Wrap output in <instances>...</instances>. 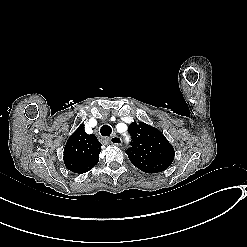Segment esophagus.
<instances>
[{
    "mask_svg": "<svg viewBox=\"0 0 247 247\" xmlns=\"http://www.w3.org/2000/svg\"><path fill=\"white\" fill-rule=\"evenodd\" d=\"M110 143L113 145H121L122 144V138L119 136H113L110 138Z\"/></svg>",
    "mask_w": 247,
    "mask_h": 247,
    "instance_id": "34e87169",
    "label": "esophagus"
}]
</instances>
